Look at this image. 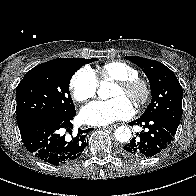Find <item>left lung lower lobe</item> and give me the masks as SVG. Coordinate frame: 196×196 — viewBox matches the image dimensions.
Instances as JSON below:
<instances>
[{
  "instance_id": "1",
  "label": "left lung lower lobe",
  "mask_w": 196,
  "mask_h": 196,
  "mask_svg": "<svg viewBox=\"0 0 196 196\" xmlns=\"http://www.w3.org/2000/svg\"><path fill=\"white\" fill-rule=\"evenodd\" d=\"M129 124L144 128L122 150L125 155L136 158L153 157L163 151L178 128V124L162 116L140 117Z\"/></svg>"
}]
</instances>
